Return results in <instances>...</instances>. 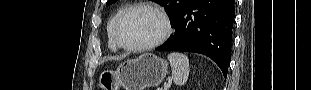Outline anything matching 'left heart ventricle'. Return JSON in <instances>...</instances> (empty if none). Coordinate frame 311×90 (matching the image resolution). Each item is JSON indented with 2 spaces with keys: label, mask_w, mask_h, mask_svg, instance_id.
Wrapping results in <instances>:
<instances>
[{
  "label": "left heart ventricle",
  "mask_w": 311,
  "mask_h": 90,
  "mask_svg": "<svg viewBox=\"0 0 311 90\" xmlns=\"http://www.w3.org/2000/svg\"><path fill=\"white\" fill-rule=\"evenodd\" d=\"M162 30V21L156 13L140 9L124 19L119 29V36L125 44L139 46L156 40Z\"/></svg>",
  "instance_id": "1"
}]
</instances>
